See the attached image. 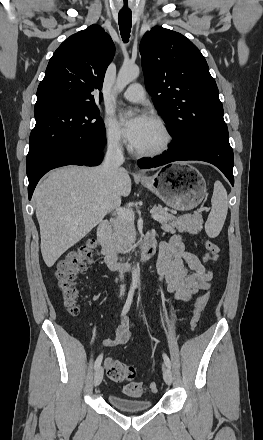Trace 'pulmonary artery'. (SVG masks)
Returning <instances> with one entry per match:
<instances>
[{
  "mask_svg": "<svg viewBox=\"0 0 263 440\" xmlns=\"http://www.w3.org/2000/svg\"><path fill=\"white\" fill-rule=\"evenodd\" d=\"M122 97L130 102H141L145 98V90L141 84L134 83L123 92Z\"/></svg>",
  "mask_w": 263,
  "mask_h": 440,
  "instance_id": "1",
  "label": "pulmonary artery"
}]
</instances>
